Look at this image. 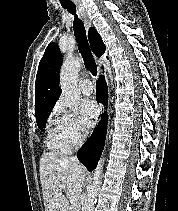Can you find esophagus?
Returning <instances> with one entry per match:
<instances>
[{
	"label": "esophagus",
	"instance_id": "obj_1",
	"mask_svg": "<svg viewBox=\"0 0 178 211\" xmlns=\"http://www.w3.org/2000/svg\"><path fill=\"white\" fill-rule=\"evenodd\" d=\"M81 14H82L86 29L88 30L92 26L91 19L89 18L88 13L84 9L81 11ZM100 110H101V113H102V111L104 110L103 105H101Z\"/></svg>",
	"mask_w": 178,
	"mask_h": 211
}]
</instances>
